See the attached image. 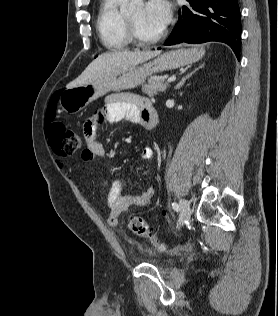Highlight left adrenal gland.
I'll return each instance as SVG.
<instances>
[{"label":"left adrenal gland","mask_w":278,"mask_h":316,"mask_svg":"<svg viewBox=\"0 0 278 316\" xmlns=\"http://www.w3.org/2000/svg\"><path fill=\"white\" fill-rule=\"evenodd\" d=\"M204 67V64H201L198 68H196L195 70H193L191 73H189V74H187L185 77H183L182 78V80L175 86V89L177 90V89H180L183 85H184V83H185V81L187 80V79H189L196 71H198L199 69H201V68H203Z\"/></svg>","instance_id":"1"}]
</instances>
